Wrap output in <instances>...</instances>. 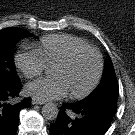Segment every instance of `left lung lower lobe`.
<instances>
[{
	"instance_id": "1",
	"label": "left lung lower lobe",
	"mask_w": 135,
	"mask_h": 135,
	"mask_svg": "<svg viewBox=\"0 0 135 135\" xmlns=\"http://www.w3.org/2000/svg\"><path fill=\"white\" fill-rule=\"evenodd\" d=\"M117 110V98L108 97L63 104L51 135H104Z\"/></svg>"
}]
</instances>
